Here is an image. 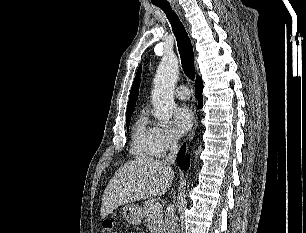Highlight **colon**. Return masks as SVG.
<instances>
[{"instance_id":"1","label":"colon","mask_w":306,"mask_h":233,"mask_svg":"<svg viewBox=\"0 0 306 233\" xmlns=\"http://www.w3.org/2000/svg\"><path fill=\"white\" fill-rule=\"evenodd\" d=\"M101 233H117V231L113 223L107 222L102 225Z\"/></svg>"}]
</instances>
